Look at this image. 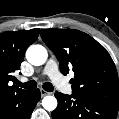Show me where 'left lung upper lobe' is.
<instances>
[{
	"instance_id": "obj_1",
	"label": "left lung upper lobe",
	"mask_w": 119,
	"mask_h": 119,
	"mask_svg": "<svg viewBox=\"0 0 119 119\" xmlns=\"http://www.w3.org/2000/svg\"><path fill=\"white\" fill-rule=\"evenodd\" d=\"M41 37L60 62L61 73L74 71L72 93L118 104L116 67L102 45L74 29H43Z\"/></svg>"
}]
</instances>
